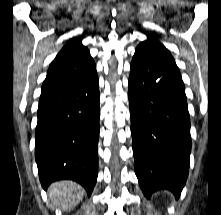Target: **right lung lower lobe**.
Listing matches in <instances>:
<instances>
[{"label": "right lung lower lobe", "instance_id": "1", "mask_svg": "<svg viewBox=\"0 0 221 215\" xmlns=\"http://www.w3.org/2000/svg\"><path fill=\"white\" fill-rule=\"evenodd\" d=\"M99 100L96 70L40 96L35 158L44 189L70 179L91 195L98 175Z\"/></svg>", "mask_w": 221, "mask_h": 215}]
</instances>
